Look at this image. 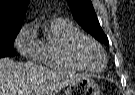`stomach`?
Returning a JSON list of instances; mask_svg holds the SVG:
<instances>
[{
  "label": "stomach",
  "instance_id": "stomach-1",
  "mask_svg": "<svg viewBox=\"0 0 135 95\" xmlns=\"http://www.w3.org/2000/svg\"><path fill=\"white\" fill-rule=\"evenodd\" d=\"M65 95H100V90L98 84L87 77L69 85Z\"/></svg>",
  "mask_w": 135,
  "mask_h": 95
}]
</instances>
